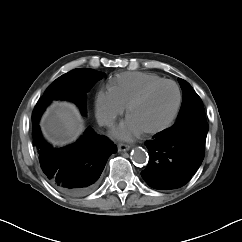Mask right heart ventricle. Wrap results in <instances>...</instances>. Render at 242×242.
<instances>
[{
    "label": "right heart ventricle",
    "instance_id": "obj_1",
    "mask_svg": "<svg viewBox=\"0 0 242 242\" xmlns=\"http://www.w3.org/2000/svg\"><path fill=\"white\" fill-rule=\"evenodd\" d=\"M161 80L162 77L153 73L126 72L112 78L109 88L124 106H128L146 87Z\"/></svg>",
    "mask_w": 242,
    "mask_h": 242
}]
</instances>
